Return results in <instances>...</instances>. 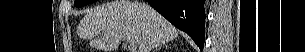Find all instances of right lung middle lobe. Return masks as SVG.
<instances>
[{
  "instance_id": "right-lung-middle-lobe-1",
  "label": "right lung middle lobe",
  "mask_w": 305,
  "mask_h": 52,
  "mask_svg": "<svg viewBox=\"0 0 305 52\" xmlns=\"http://www.w3.org/2000/svg\"><path fill=\"white\" fill-rule=\"evenodd\" d=\"M97 0H75L74 2V6L75 7H82V6H85L89 3H92V2H95Z\"/></svg>"
}]
</instances>
